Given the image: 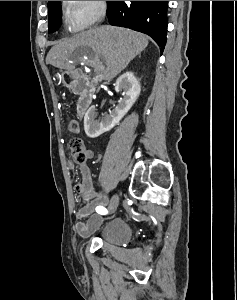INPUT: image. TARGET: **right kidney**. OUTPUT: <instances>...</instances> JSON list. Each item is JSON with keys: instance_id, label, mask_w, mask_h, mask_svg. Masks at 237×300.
I'll use <instances>...</instances> for the list:
<instances>
[{"instance_id": "ca27d5eb", "label": "right kidney", "mask_w": 237, "mask_h": 300, "mask_svg": "<svg viewBox=\"0 0 237 300\" xmlns=\"http://www.w3.org/2000/svg\"><path fill=\"white\" fill-rule=\"evenodd\" d=\"M115 91H123V99L118 101L119 105L110 111V115H103L102 119H97L96 107L92 105L85 113L84 131L90 139H96L103 133L111 131L124 115L128 113L135 101H137L141 87L139 81L134 77V73H124L115 83Z\"/></svg>"}]
</instances>
